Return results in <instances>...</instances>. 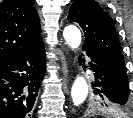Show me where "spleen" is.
Listing matches in <instances>:
<instances>
[{
  "label": "spleen",
  "instance_id": "1",
  "mask_svg": "<svg viewBox=\"0 0 133 118\" xmlns=\"http://www.w3.org/2000/svg\"><path fill=\"white\" fill-rule=\"evenodd\" d=\"M117 116H118V118H123L124 117V114L119 113Z\"/></svg>",
  "mask_w": 133,
  "mask_h": 118
}]
</instances>
